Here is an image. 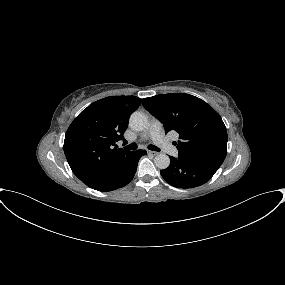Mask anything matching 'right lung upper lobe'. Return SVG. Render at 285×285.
Segmentation results:
<instances>
[{
  "instance_id": "1",
  "label": "right lung upper lobe",
  "mask_w": 285,
  "mask_h": 285,
  "mask_svg": "<svg viewBox=\"0 0 285 285\" xmlns=\"http://www.w3.org/2000/svg\"><path fill=\"white\" fill-rule=\"evenodd\" d=\"M135 96H110L85 108L69 126L64 153L73 173L85 184L120 169L133 151L117 149L129 115L140 105ZM115 146V147H114Z\"/></svg>"
}]
</instances>
